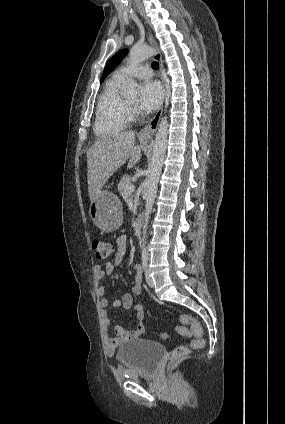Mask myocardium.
Returning a JSON list of instances; mask_svg holds the SVG:
<instances>
[{"label":"myocardium","instance_id":"1","mask_svg":"<svg viewBox=\"0 0 285 424\" xmlns=\"http://www.w3.org/2000/svg\"><path fill=\"white\" fill-rule=\"evenodd\" d=\"M126 109L129 116H132L135 113L134 105L130 104L128 101H125Z\"/></svg>","mask_w":285,"mask_h":424}]
</instances>
